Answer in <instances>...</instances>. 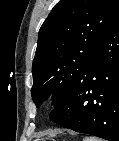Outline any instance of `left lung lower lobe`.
<instances>
[{
  "label": "left lung lower lobe",
  "instance_id": "obj_1",
  "mask_svg": "<svg viewBox=\"0 0 119 141\" xmlns=\"http://www.w3.org/2000/svg\"><path fill=\"white\" fill-rule=\"evenodd\" d=\"M64 128L119 141V13L76 85L50 113Z\"/></svg>",
  "mask_w": 119,
  "mask_h": 141
}]
</instances>
